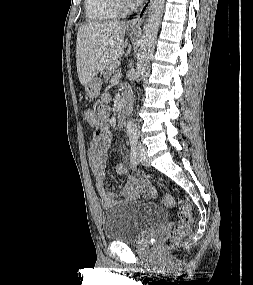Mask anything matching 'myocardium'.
<instances>
[{
    "label": "myocardium",
    "mask_w": 253,
    "mask_h": 285,
    "mask_svg": "<svg viewBox=\"0 0 253 285\" xmlns=\"http://www.w3.org/2000/svg\"><path fill=\"white\" fill-rule=\"evenodd\" d=\"M117 8L123 13L133 8L130 0H114Z\"/></svg>",
    "instance_id": "f54148a6"
}]
</instances>
